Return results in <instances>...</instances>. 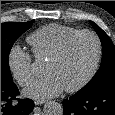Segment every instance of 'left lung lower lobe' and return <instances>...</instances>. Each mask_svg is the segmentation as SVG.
I'll return each mask as SVG.
<instances>
[{"label":"left lung lower lobe","instance_id":"obj_1","mask_svg":"<svg viewBox=\"0 0 115 115\" xmlns=\"http://www.w3.org/2000/svg\"><path fill=\"white\" fill-rule=\"evenodd\" d=\"M63 106V115H115V87L74 94L63 101Z\"/></svg>","mask_w":115,"mask_h":115}]
</instances>
